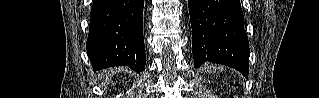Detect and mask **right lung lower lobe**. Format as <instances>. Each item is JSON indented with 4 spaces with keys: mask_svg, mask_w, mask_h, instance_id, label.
Segmentation results:
<instances>
[{
    "mask_svg": "<svg viewBox=\"0 0 319 98\" xmlns=\"http://www.w3.org/2000/svg\"><path fill=\"white\" fill-rule=\"evenodd\" d=\"M144 0H94L87 54L94 71L129 66L145 69Z\"/></svg>",
    "mask_w": 319,
    "mask_h": 98,
    "instance_id": "obj_1",
    "label": "right lung lower lobe"
}]
</instances>
